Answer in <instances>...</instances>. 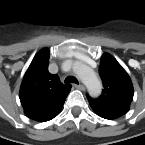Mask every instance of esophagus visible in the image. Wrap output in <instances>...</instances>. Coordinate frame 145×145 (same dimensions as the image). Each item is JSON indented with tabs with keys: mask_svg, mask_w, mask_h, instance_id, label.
I'll return each instance as SVG.
<instances>
[{
	"mask_svg": "<svg viewBox=\"0 0 145 145\" xmlns=\"http://www.w3.org/2000/svg\"><path fill=\"white\" fill-rule=\"evenodd\" d=\"M74 87L79 89V90H84L85 89L84 85H82V84H74Z\"/></svg>",
	"mask_w": 145,
	"mask_h": 145,
	"instance_id": "34e87169",
	"label": "esophagus"
}]
</instances>
